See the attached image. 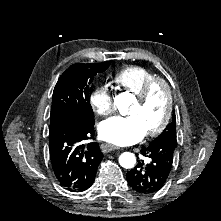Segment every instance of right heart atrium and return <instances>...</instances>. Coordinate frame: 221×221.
<instances>
[{"mask_svg":"<svg viewBox=\"0 0 221 221\" xmlns=\"http://www.w3.org/2000/svg\"><path fill=\"white\" fill-rule=\"evenodd\" d=\"M90 105L95 113L100 116H108L112 112L113 98L105 86L95 88L90 95Z\"/></svg>","mask_w":221,"mask_h":221,"instance_id":"obj_1","label":"right heart atrium"}]
</instances>
